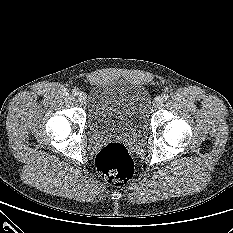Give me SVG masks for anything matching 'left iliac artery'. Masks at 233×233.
I'll return each mask as SVG.
<instances>
[{
  "label": "left iliac artery",
  "instance_id": "1",
  "mask_svg": "<svg viewBox=\"0 0 233 233\" xmlns=\"http://www.w3.org/2000/svg\"><path fill=\"white\" fill-rule=\"evenodd\" d=\"M162 98H163V100H167L169 98V95L168 94H163Z\"/></svg>",
  "mask_w": 233,
  "mask_h": 233
}]
</instances>
